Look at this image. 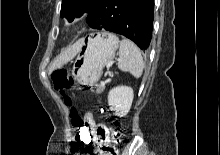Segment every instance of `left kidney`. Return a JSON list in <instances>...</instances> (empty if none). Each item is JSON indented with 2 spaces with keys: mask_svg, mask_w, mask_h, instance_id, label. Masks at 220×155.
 <instances>
[{
  "mask_svg": "<svg viewBox=\"0 0 220 155\" xmlns=\"http://www.w3.org/2000/svg\"><path fill=\"white\" fill-rule=\"evenodd\" d=\"M133 89L128 86H117L108 94V105L116 116L124 117L130 111L133 101Z\"/></svg>",
  "mask_w": 220,
  "mask_h": 155,
  "instance_id": "5707ae66",
  "label": "left kidney"
}]
</instances>
